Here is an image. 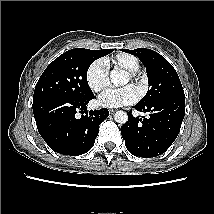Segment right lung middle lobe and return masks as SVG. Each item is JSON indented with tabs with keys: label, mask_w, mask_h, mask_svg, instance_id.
Masks as SVG:
<instances>
[{
	"label": "right lung middle lobe",
	"mask_w": 214,
	"mask_h": 214,
	"mask_svg": "<svg viewBox=\"0 0 214 214\" xmlns=\"http://www.w3.org/2000/svg\"><path fill=\"white\" fill-rule=\"evenodd\" d=\"M113 50L71 49L51 62L39 78L33 102L47 97L87 98L92 93L87 82L89 66Z\"/></svg>",
	"instance_id": "1"
}]
</instances>
